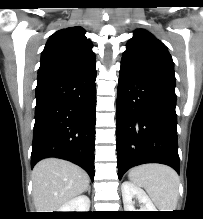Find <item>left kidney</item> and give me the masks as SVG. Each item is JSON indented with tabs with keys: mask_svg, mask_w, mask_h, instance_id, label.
I'll list each match as a JSON object with an SVG mask.
<instances>
[{
	"mask_svg": "<svg viewBox=\"0 0 203 219\" xmlns=\"http://www.w3.org/2000/svg\"><path fill=\"white\" fill-rule=\"evenodd\" d=\"M121 190L125 211H157L144 190L135 184L125 181L122 183ZM134 197L142 204L140 207L141 209L139 210H136L134 207V203L132 201Z\"/></svg>",
	"mask_w": 203,
	"mask_h": 219,
	"instance_id": "left-kidney-1",
	"label": "left kidney"
}]
</instances>
